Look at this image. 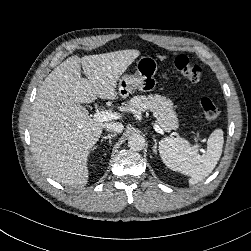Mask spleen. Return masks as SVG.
Returning a JSON list of instances; mask_svg holds the SVG:
<instances>
[{
  "mask_svg": "<svg viewBox=\"0 0 251 251\" xmlns=\"http://www.w3.org/2000/svg\"><path fill=\"white\" fill-rule=\"evenodd\" d=\"M223 143V131L216 129L208 138L207 150L200 155L196 146L187 140L166 137L159 142V154L169 169L189 176V184L193 185L213 171L221 157Z\"/></svg>",
  "mask_w": 251,
  "mask_h": 251,
  "instance_id": "spleen-1",
  "label": "spleen"
}]
</instances>
